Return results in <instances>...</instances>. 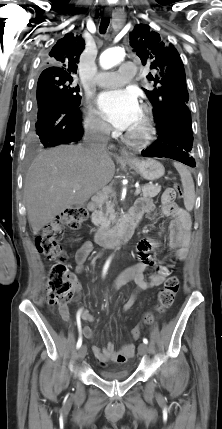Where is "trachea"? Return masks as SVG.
I'll return each mask as SVG.
<instances>
[{
    "instance_id": "1",
    "label": "trachea",
    "mask_w": 222,
    "mask_h": 429,
    "mask_svg": "<svg viewBox=\"0 0 222 429\" xmlns=\"http://www.w3.org/2000/svg\"><path fill=\"white\" fill-rule=\"evenodd\" d=\"M110 19L109 18H102L99 31L101 34H104L109 26Z\"/></svg>"
}]
</instances>
